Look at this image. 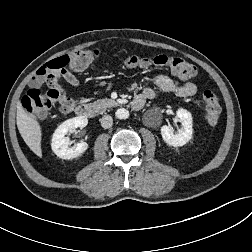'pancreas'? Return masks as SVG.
<instances>
[{
  "instance_id": "pancreas-1",
  "label": "pancreas",
  "mask_w": 252,
  "mask_h": 252,
  "mask_svg": "<svg viewBox=\"0 0 252 252\" xmlns=\"http://www.w3.org/2000/svg\"><path fill=\"white\" fill-rule=\"evenodd\" d=\"M93 106L98 114L104 113L107 108L118 106V103L113 99H100L93 103Z\"/></svg>"
}]
</instances>
